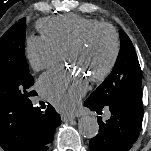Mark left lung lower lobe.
I'll use <instances>...</instances> for the list:
<instances>
[{
    "label": "left lung lower lobe",
    "mask_w": 151,
    "mask_h": 151,
    "mask_svg": "<svg viewBox=\"0 0 151 151\" xmlns=\"http://www.w3.org/2000/svg\"><path fill=\"white\" fill-rule=\"evenodd\" d=\"M84 105L98 114L102 108L90 100ZM111 112L109 120L98 118L99 133L90 140L91 151H128L137 140L143 119L141 85L129 87L116 102L108 105Z\"/></svg>",
    "instance_id": "1"
}]
</instances>
